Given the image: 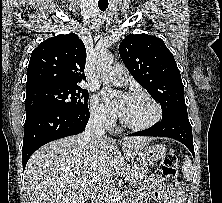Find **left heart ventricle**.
I'll return each mask as SVG.
<instances>
[{
  "mask_svg": "<svg viewBox=\"0 0 222 203\" xmlns=\"http://www.w3.org/2000/svg\"><path fill=\"white\" fill-rule=\"evenodd\" d=\"M120 114L127 122L139 125L151 121L156 110L146 98L126 96Z\"/></svg>",
  "mask_w": 222,
  "mask_h": 203,
  "instance_id": "b2bd125f",
  "label": "left heart ventricle"
}]
</instances>
